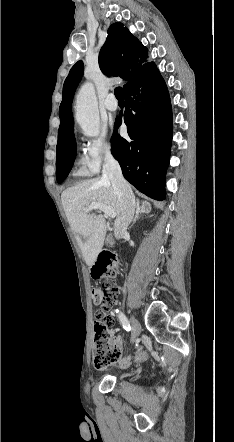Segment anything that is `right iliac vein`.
I'll list each match as a JSON object with an SVG mask.
<instances>
[{"label": "right iliac vein", "mask_w": 234, "mask_h": 442, "mask_svg": "<svg viewBox=\"0 0 234 442\" xmlns=\"http://www.w3.org/2000/svg\"><path fill=\"white\" fill-rule=\"evenodd\" d=\"M140 329L141 327L139 322L135 318H132V342H134L138 337Z\"/></svg>", "instance_id": "right-iliac-vein-1"}]
</instances>
